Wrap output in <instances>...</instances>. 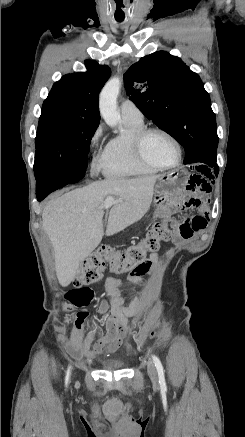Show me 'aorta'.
Wrapping results in <instances>:
<instances>
[{"label":"aorta","instance_id":"762f6f07","mask_svg":"<svg viewBox=\"0 0 245 437\" xmlns=\"http://www.w3.org/2000/svg\"><path fill=\"white\" fill-rule=\"evenodd\" d=\"M121 82L114 77L110 79L101 91L99 107L101 115L110 127H115L120 121V113L117 110V97L119 95Z\"/></svg>","mask_w":245,"mask_h":437}]
</instances>
